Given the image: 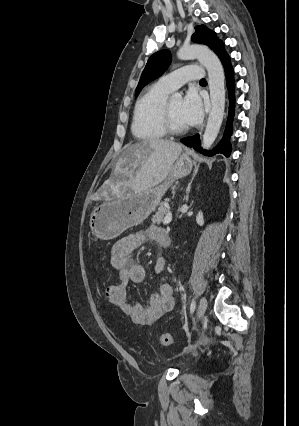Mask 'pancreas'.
I'll list each match as a JSON object with an SVG mask.
<instances>
[{
    "label": "pancreas",
    "mask_w": 299,
    "mask_h": 426,
    "mask_svg": "<svg viewBox=\"0 0 299 426\" xmlns=\"http://www.w3.org/2000/svg\"><path fill=\"white\" fill-rule=\"evenodd\" d=\"M167 212H168V204H167V200H165V202H162L160 204L156 214L152 216V222L157 224L164 222V217L167 214Z\"/></svg>",
    "instance_id": "cf45deb5"
}]
</instances>
